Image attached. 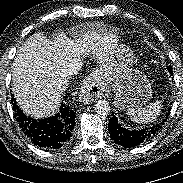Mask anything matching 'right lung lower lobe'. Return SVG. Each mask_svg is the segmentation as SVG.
<instances>
[{
  "instance_id": "98d812e1",
  "label": "right lung lower lobe",
  "mask_w": 183,
  "mask_h": 183,
  "mask_svg": "<svg viewBox=\"0 0 183 183\" xmlns=\"http://www.w3.org/2000/svg\"><path fill=\"white\" fill-rule=\"evenodd\" d=\"M15 117L24 135L35 145L44 149L65 147L75 126V112L62 103L60 111L51 118L36 120L26 116L14 98H11Z\"/></svg>"
}]
</instances>
